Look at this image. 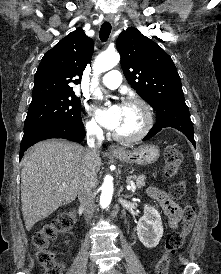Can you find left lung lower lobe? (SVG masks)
<instances>
[{
    "mask_svg": "<svg viewBox=\"0 0 221 274\" xmlns=\"http://www.w3.org/2000/svg\"><path fill=\"white\" fill-rule=\"evenodd\" d=\"M156 122L143 141L150 139L165 127H172L184 133L193 146L196 147L193 136V124L190 119L189 109L185 103H181L170 108L169 111L158 114Z\"/></svg>",
    "mask_w": 221,
    "mask_h": 274,
    "instance_id": "1",
    "label": "left lung lower lobe"
}]
</instances>
